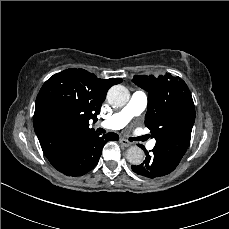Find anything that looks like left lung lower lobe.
I'll return each instance as SVG.
<instances>
[{
    "label": "left lung lower lobe",
    "mask_w": 229,
    "mask_h": 229,
    "mask_svg": "<svg viewBox=\"0 0 229 229\" xmlns=\"http://www.w3.org/2000/svg\"><path fill=\"white\" fill-rule=\"evenodd\" d=\"M146 158L140 165H132V170L148 178H158L171 173L177 166L169 164L163 158L161 152L154 148L149 154L145 149Z\"/></svg>",
    "instance_id": "obj_1"
}]
</instances>
